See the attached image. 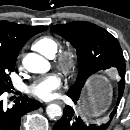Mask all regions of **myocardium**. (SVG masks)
<instances>
[{
    "label": "myocardium",
    "mask_w": 130,
    "mask_h": 130,
    "mask_svg": "<svg viewBox=\"0 0 130 130\" xmlns=\"http://www.w3.org/2000/svg\"><path fill=\"white\" fill-rule=\"evenodd\" d=\"M78 53L73 46H67L59 50L56 57V64L64 73L70 74L77 65Z\"/></svg>",
    "instance_id": "f54148a6"
}]
</instances>
